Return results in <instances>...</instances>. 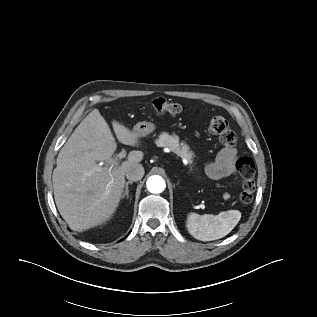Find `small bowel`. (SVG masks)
<instances>
[{
  "label": "small bowel",
  "mask_w": 317,
  "mask_h": 317,
  "mask_svg": "<svg viewBox=\"0 0 317 317\" xmlns=\"http://www.w3.org/2000/svg\"><path fill=\"white\" fill-rule=\"evenodd\" d=\"M236 158L237 150L235 148L222 149L215 161L207 165V175L213 179H221L232 175Z\"/></svg>",
  "instance_id": "small-bowel-1"
}]
</instances>
